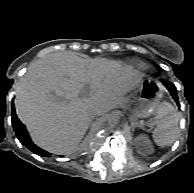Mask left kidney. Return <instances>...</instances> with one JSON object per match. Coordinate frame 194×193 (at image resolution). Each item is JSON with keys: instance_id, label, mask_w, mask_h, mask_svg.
<instances>
[{"instance_id": "obj_1", "label": "left kidney", "mask_w": 194, "mask_h": 193, "mask_svg": "<svg viewBox=\"0 0 194 193\" xmlns=\"http://www.w3.org/2000/svg\"><path fill=\"white\" fill-rule=\"evenodd\" d=\"M137 147L144 154H151L153 152V148L150 145L149 141L145 139L144 136L137 137Z\"/></svg>"}]
</instances>
